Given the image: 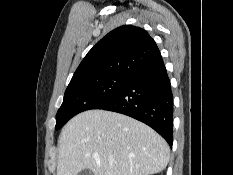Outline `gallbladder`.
I'll use <instances>...</instances> for the list:
<instances>
[{
  "instance_id": "bac80fb5",
  "label": "gallbladder",
  "mask_w": 233,
  "mask_h": 175,
  "mask_svg": "<svg viewBox=\"0 0 233 175\" xmlns=\"http://www.w3.org/2000/svg\"><path fill=\"white\" fill-rule=\"evenodd\" d=\"M78 175H93V172L90 169H84Z\"/></svg>"
}]
</instances>
